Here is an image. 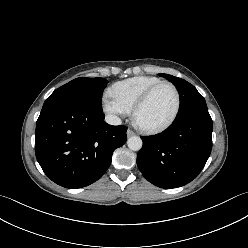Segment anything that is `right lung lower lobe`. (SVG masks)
<instances>
[{
  "mask_svg": "<svg viewBox=\"0 0 248 248\" xmlns=\"http://www.w3.org/2000/svg\"><path fill=\"white\" fill-rule=\"evenodd\" d=\"M127 128L104 121V113L63 101L44 105L36 123L35 153L49 179L66 188L97 181L111 164L113 151L127 139Z\"/></svg>",
  "mask_w": 248,
  "mask_h": 248,
  "instance_id": "obj_1",
  "label": "right lung lower lobe"
}]
</instances>
